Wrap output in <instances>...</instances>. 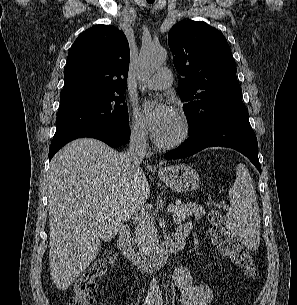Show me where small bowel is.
I'll return each mask as SVG.
<instances>
[{"label": "small bowel", "instance_id": "obj_1", "mask_svg": "<svg viewBox=\"0 0 297 305\" xmlns=\"http://www.w3.org/2000/svg\"><path fill=\"white\" fill-rule=\"evenodd\" d=\"M184 228L190 229V226L183 225L179 230ZM172 280L180 293L182 305H209L215 297V288L208 284L195 283L189 270L184 266L175 269Z\"/></svg>", "mask_w": 297, "mask_h": 305}]
</instances>
